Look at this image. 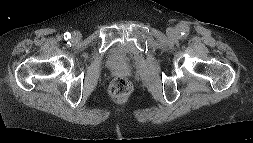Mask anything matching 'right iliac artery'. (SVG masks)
<instances>
[{
    "label": "right iliac artery",
    "instance_id": "1",
    "mask_svg": "<svg viewBox=\"0 0 253 143\" xmlns=\"http://www.w3.org/2000/svg\"><path fill=\"white\" fill-rule=\"evenodd\" d=\"M70 37H71V34H70V33L67 32V33L64 34V39H65V40H67V39L70 38Z\"/></svg>",
    "mask_w": 253,
    "mask_h": 143
}]
</instances>
